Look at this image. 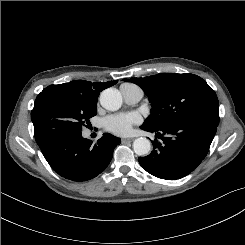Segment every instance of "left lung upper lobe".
<instances>
[{"label":"left lung upper lobe","instance_id":"obj_1","mask_svg":"<svg viewBox=\"0 0 245 245\" xmlns=\"http://www.w3.org/2000/svg\"><path fill=\"white\" fill-rule=\"evenodd\" d=\"M123 80L140 86L151 102V114L143 127H163L186 119L219 123L217 96L197 75L163 73Z\"/></svg>","mask_w":245,"mask_h":245}]
</instances>
